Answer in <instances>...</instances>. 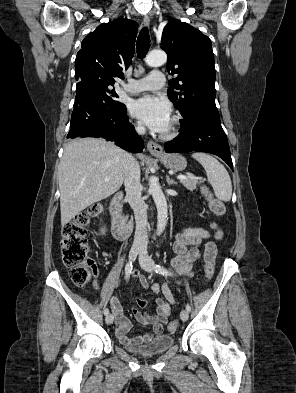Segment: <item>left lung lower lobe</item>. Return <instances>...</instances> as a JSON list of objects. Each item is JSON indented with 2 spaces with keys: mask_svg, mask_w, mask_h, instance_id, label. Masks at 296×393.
<instances>
[{
  "mask_svg": "<svg viewBox=\"0 0 296 393\" xmlns=\"http://www.w3.org/2000/svg\"><path fill=\"white\" fill-rule=\"evenodd\" d=\"M167 153L201 151L222 158L233 170L226 134L218 111H203L181 125V132L165 144Z\"/></svg>",
  "mask_w": 296,
  "mask_h": 393,
  "instance_id": "1",
  "label": "left lung lower lobe"
}]
</instances>
